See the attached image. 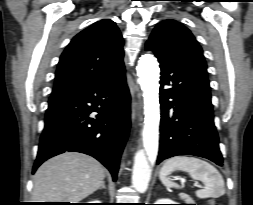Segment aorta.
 Here are the masks:
<instances>
[{"label":"aorta","instance_id":"obj_1","mask_svg":"<svg viewBox=\"0 0 253 205\" xmlns=\"http://www.w3.org/2000/svg\"><path fill=\"white\" fill-rule=\"evenodd\" d=\"M139 84L144 98L145 125L143 130L144 149L139 150L134 158L132 185L140 193L148 189L151 166L147 154L155 155L158 149L160 106L159 77L157 59L152 54H144L137 65Z\"/></svg>","mask_w":253,"mask_h":205}]
</instances>
